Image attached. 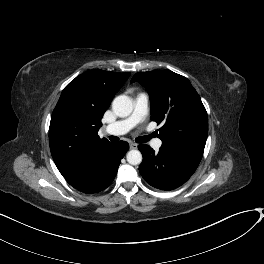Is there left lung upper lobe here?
<instances>
[{
  "mask_svg": "<svg viewBox=\"0 0 264 264\" xmlns=\"http://www.w3.org/2000/svg\"><path fill=\"white\" fill-rule=\"evenodd\" d=\"M148 91L151 120L162 124V146L183 148L203 155L208 135V117L202 101L189 80L170 70L136 73Z\"/></svg>",
  "mask_w": 264,
  "mask_h": 264,
  "instance_id": "5c2ea615",
  "label": "left lung upper lobe"
}]
</instances>
